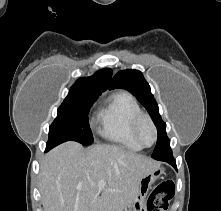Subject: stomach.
Returning <instances> with one entry per match:
<instances>
[{
	"label": "stomach",
	"mask_w": 221,
	"mask_h": 211,
	"mask_svg": "<svg viewBox=\"0 0 221 211\" xmlns=\"http://www.w3.org/2000/svg\"><path fill=\"white\" fill-rule=\"evenodd\" d=\"M163 174H165V168L160 164L156 168L149 170L143 174L128 211H146L145 200L147 194L149 190L152 189L155 181Z\"/></svg>",
	"instance_id": "1"
}]
</instances>
